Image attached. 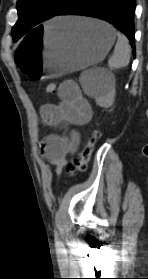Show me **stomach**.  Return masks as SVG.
Segmentation results:
<instances>
[{
    "label": "stomach",
    "mask_w": 148,
    "mask_h": 279,
    "mask_svg": "<svg viewBox=\"0 0 148 279\" xmlns=\"http://www.w3.org/2000/svg\"><path fill=\"white\" fill-rule=\"evenodd\" d=\"M115 38L109 24L94 19L62 17L36 24L15 48L16 72L23 82H46L85 69L105 58Z\"/></svg>",
    "instance_id": "obj_1"
}]
</instances>
